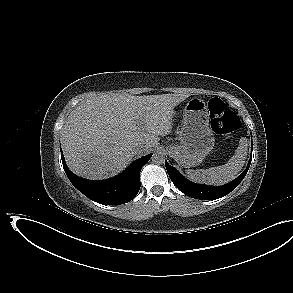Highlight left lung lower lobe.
I'll return each instance as SVG.
<instances>
[{
  "label": "left lung lower lobe",
  "mask_w": 293,
  "mask_h": 293,
  "mask_svg": "<svg viewBox=\"0 0 293 293\" xmlns=\"http://www.w3.org/2000/svg\"><path fill=\"white\" fill-rule=\"evenodd\" d=\"M251 159H252V153H251V158L249 160L248 166L245 169V171L233 181L219 187L192 183L191 181L187 180L184 176H182L178 170L170 166L166 161H165V166L168 171L170 179L173 181L174 185L181 192L195 199L215 200L227 195L232 190H234L238 186V184H240V182L243 180V178L245 177L249 169Z\"/></svg>",
  "instance_id": "1"
}]
</instances>
